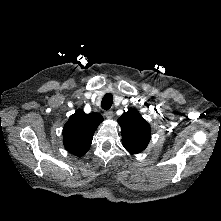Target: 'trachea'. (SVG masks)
Listing matches in <instances>:
<instances>
[{
	"label": "trachea",
	"instance_id": "trachea-1",
	"mask_svg": "<svg viewBox=\"0 0 221 221\" xmlns=\"http://www.w3.org/2000/svg\"><path fill=\"white\" fill-rule=\"evenodd\" d=\"M113 103V96L111 93H107L104 95L102 102H101V106L104 110H108L109 108H111Z\"/></svg>",
	"mask_w": 221,
	"mask_h": 221
}]
</instances>
